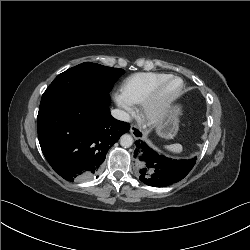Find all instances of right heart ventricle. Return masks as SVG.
Instances as JSON below:
<instances>
[{"label": "right heart ventricle", "mask_w": 250, "mask_h": 250, "mask_svg": "<svg viewBox=\"0 0 250 250\" xmlns=\"http://www.w3.org/2000/svg\"><path fill=\"white\" fill-rule=\"evenodd\" d=\"M169 74L158 72H140L127 77L120 86L121 97L129 104H140L161 80Z\"/></svg>", "instance_id": "e07e8e85"}]
</instances>
